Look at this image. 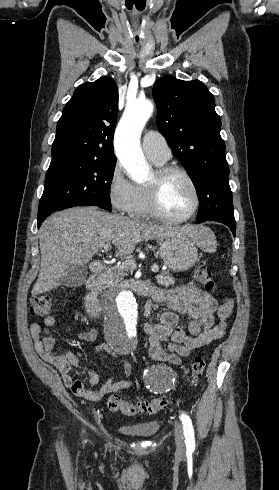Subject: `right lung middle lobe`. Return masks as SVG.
<instances>
[{
    "mask_svg": "<svg viewBox=\"0 0 279 490\" xmlns=\"http://www.w3.org/2000/svg\"><path fill=\"white\" fill-rule=\"evenodd\" d=\"M116 158H80L50 164L38 218L63 206L87 202L111 211L110 186Z\"/></svg>",
    "mask_w": 279,
    "mask_h": 490,
    "instance_id": "1",
    "label": "right lung middle lobe"
}]
</instances>
